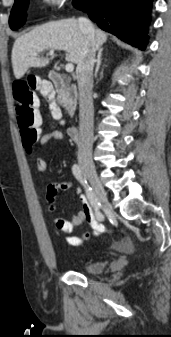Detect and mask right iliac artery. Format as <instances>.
I'll return each instance as SVG.
<instances>
[{"mask_svg":"<svg viewBox=\"0 0 171 337\" xmlns=\"http://www.w3.org/2000/svg\"><path fill=\"white\" fill-rule=\"evenodd\" d=\"M72 172H73V175L76 177V179L85 188L87 198H88L89 202L91 203V205L95 209V215H96L97 219L99 221H103L104 220V215L100 211L101 204L98 201V199H97L96 195L94 194V192L92 191V188L88 185L86 179L84 178L80 166L77 165V164H74L73 167H72Z\"/></svg>","mask_w":171,"mask_h":337,"instance_id":"1","label":"right iliac artery"}]
</instances>
